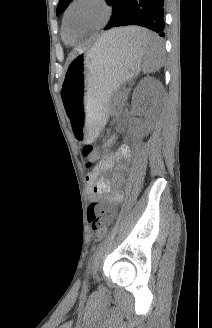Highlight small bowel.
Instances as JSON below:
<instances>
[{"mask_svg": "<svg viewBox=\"0 0 212 328\" xmlns=\"http://www.w3.org/2000/svg\"><path fill=\"white\" fill-rule=\"evenodd\" d=\"M130 160V150L127 146H120L115 153L106 152L100 159L97 166H95L86 175V181L91 190V200L98 201L100 196L106 193L109 189L108 183L100 178L102 172L111 169L116 161L122 162L124 166L129 163ZM124 168L121 169L115 175V181L118 186L122 185L124 182ZM123 199V193L120 188L115 189L111 196L107 198L109 207L107 213L109 217H112L115 213L116 205Z\"/></svg>", "mask_w": 212, "mask_h": 328, "instance_id": "small-bowel-1", "label": "small bowel"}]
</instances>
